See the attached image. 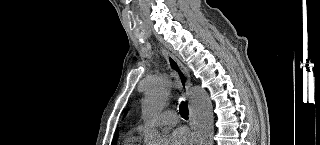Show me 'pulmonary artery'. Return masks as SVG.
<instances>
[{
  "label": "pulmonary artery",
  "mask_w": 320,
  "mask_h": 145,
  "mask_svg": "<svg viewBox=\"0 0 320 145\" xmlns=\"http://www.w3.org/2000/svg\"><path fill=\"white\" fill-rule=\"evenodd\" d=\"M177 115L174 111L168 110L160 115H158L155 119L156 126H174L177 123Z\"/></svg>",
  "instance_id": "e3ab8cb5"
}]
</instances>
